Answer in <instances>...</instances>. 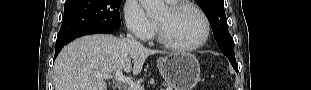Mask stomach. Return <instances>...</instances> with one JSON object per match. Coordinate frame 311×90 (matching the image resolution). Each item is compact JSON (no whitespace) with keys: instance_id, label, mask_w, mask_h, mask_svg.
<instances>
[{"instance_id":"0dacf381","label":"stomach","mask_w":311,"mask_h":90,"mask_svg":"<svg viewBox=\"0 0 311 90\" xmlns=\"http://www.w3.org/2000/svg\"><path fill=\"white\" fill-rule=\"evenodd\" d=\"M159 72L174 90H192L200 79L196 57L186 52H172L157 60Z\"/></svg>"}]
</instances>
